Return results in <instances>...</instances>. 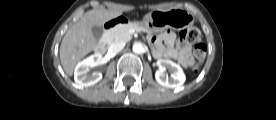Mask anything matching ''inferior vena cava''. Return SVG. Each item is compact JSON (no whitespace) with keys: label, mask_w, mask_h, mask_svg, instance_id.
Masks as SVG:
<instances>
[{"label":"inferior vena cava","mask_w":276,"mask_h":120,"mask_svg":"<svg viewBox=\"0 0 276 120\" xmlns=\"http://www.w3.org/2000/svg\"><path fill=\"white\" fill-rule=\"evenodd\" d=\"M125 46V43L124 42H117V43H114L112 44L110 47H109V50L108 52L115 55L117 54L118 52H120Z\"/></svg>","instance_id":"1"}]
</instances>
